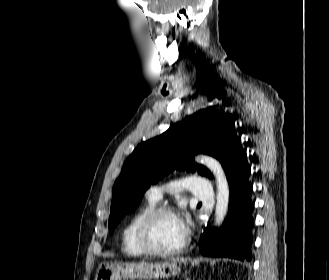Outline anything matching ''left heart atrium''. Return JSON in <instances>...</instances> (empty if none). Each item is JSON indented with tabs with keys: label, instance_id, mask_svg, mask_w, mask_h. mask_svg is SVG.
<instances>
[{
	"label": "left heart atrium",
	"instance_id": "1",
	"mask_svg": "<svg viewBox=\"0 0 329 280\" xmlns=\"http://www.w3.org/2000/svg\"><path fill=\"white\" fill-rule=\"evenodd\" d=\"M178 223L180 226L181 231L183 232L184 236H187L190 232V218L188 215L178 216Z\"/></svg>",
	"mask_w": 329,
	"mask_h": 280
}]
</instances>
